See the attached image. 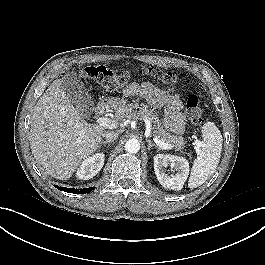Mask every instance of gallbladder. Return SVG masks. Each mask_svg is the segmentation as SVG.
<instances>
[{"instance_id": "1", "label": "gallbladder", "mask_w": 265, "mask_h": 265, "mask_svg": "<svg viewBox=\"0 0 265 265\" xmlns=\"http://www.w3.org/2000/svg\"><path fill=\"white\" fill-rule=\"evenodd\" d=\"M61 81L72 104L82 116H89L94 110V102L78 75L75 72H68Z\"/></svg>"}]
</instances>
